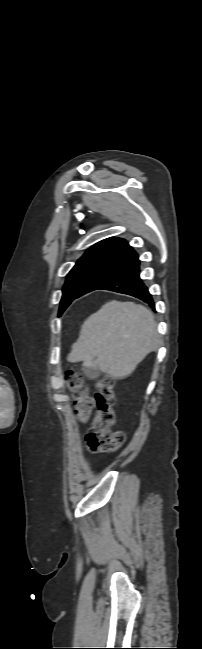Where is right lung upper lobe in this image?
<instances>
[{"label": "right lung upper lobe", "instance_id": "obj_1", "mask_svg": "<svg viewBox=\"0 0 202 649\" xmlns=\"http://www.w3.org/2000/svg\"><path fill=\"white\" fill-rule=\"evenodd\" d=\"M131 249L132 247L129 246V244L124 239L111 237L96 243L91 248H89L84 255L102 253L119 256L130 251Z\"/></svg>", "mask_w": 202, "mask_h": 649}]
</instances>
